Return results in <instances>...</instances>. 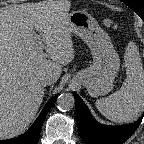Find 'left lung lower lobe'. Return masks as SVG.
Returning a JSON list of instances; mask_svg holds the SVG:
<instances>
[{
  "instance_id": "left-lung-lower-lobe-1",
  "label": "left lung lower lobe",
  "mask_w": 144,
  "mask_h": 144,
  "mask_svg": "<svg viewBox=\"0 0 144 144\" xmlns=\"http://www.w3.org/2000/svg\"><path fill=\"white\" fill-rule=\"evenodd\" d=\"M74 97L79 133L86 144H122L135 132L143 118L122 126L102 125L95 121L85 103L76 93Z\"/></svg>"
}]
</instances>
